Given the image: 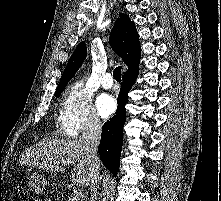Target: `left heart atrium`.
Instances as JSON below:
<instances>
[{"instance_id":"1","label":"left heart atrium","mask_w":221,"mask_h":201,"mask_svg":"<svg viewBox=\"0 0 221 201\" xmlns=\"http://www.w3.org/2000/svg\"><path fill=\"white\" fill-rule=\"evenodd\" d=\"M96 107L102 117H108L116 110V101L113 96L102 93L97 97Z\"/></svg>"}]
</instances>
